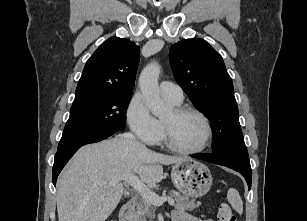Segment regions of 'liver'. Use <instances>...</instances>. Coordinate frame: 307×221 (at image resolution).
Returning <instances> with one entry per match:
<instances>
[{
	"label": "liver",
	"instance_id": "obj_1",
	"mask_svg": "<svg viewBox=\"0 0 307 221\" xmlns=\"http://www.w3.org/2000/svg\"><path fill=\"white\" fill-rule=\"evenodd\" d=\"M184 160L121 136L83 146L58 178V221H105L124 192L123 183L114 178L136 174L143 183L155 184L163 178L162 164Z\"/></svg>",
	"mask_w": 307,
	"mask_h": 221
}]
</instances>
